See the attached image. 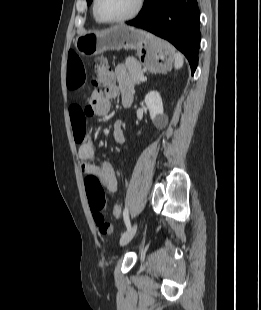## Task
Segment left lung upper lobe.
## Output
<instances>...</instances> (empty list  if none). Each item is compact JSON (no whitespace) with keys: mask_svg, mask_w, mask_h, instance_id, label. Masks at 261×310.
<instances>
[{"mask_svg":"<svg viewBox=\"0 0 261 310\" xmlns=\"http://www.w3.org/2000/svg\"><path fill=\"white\" fill-rule=\"evenodd\" d=\"M92 0H87V4L90 5Z\"/></svg>","mask_w":261,"mask_h":310,"instance_id":"left-lung-upper-lobe-1","label":"left lung upper lobe"}]
</instances>
